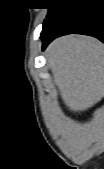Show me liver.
I'll return each mask as SVG.
<instances>
[{
    "label": "liver",
    "mask_w": 104,
    "mask_h": 169,
    "mask_svg": "<svg viewBox=\"0 0 104 169\" xmlns=\"http://www.w3.org/2000/svg\"><path fill=\"white\" fill-rule=\"evenodd\" d=\"M54 83L64 104L74 112L98 103L104 93V47L93 37L68 35L46 50Z\"/></svg>",
    "instance_id": "1"
}]
</instances>
